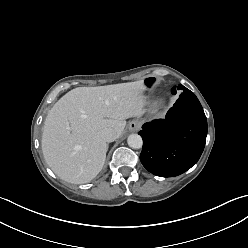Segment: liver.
Masks as SVG:
<instances>
[{
    "label": "liver",
    "instance_id": "obj_1",
    "mask_svg": "<svg viewBox=\"0 0 248 248\" xmlns=\"http://www.w3.org/2000/svg\"><path fill=\"white\" fill-rule=\"evenodd\" d=\"M143 81L97 87H78L66 93L49 111L43 128L42 152L61 179L83 184L102 170L108 144L102 130L120 137L126 119L144 114Z\"/></svg>",
    "mask_w": 248,
    "mask_h": 248
}]
</instances>
